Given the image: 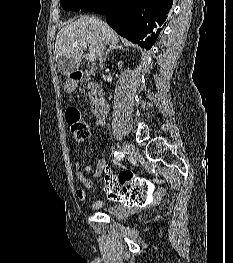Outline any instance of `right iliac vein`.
Wrapping results in <instances>:
<instances>
[{
  "label": "right iliac vein",
  "mask_w": 233,
  "mask_h": 263,
  "mask_svg": "<svg viewBox=\"0 0 233 263\" xmlns=\"http://www.w3.org/2000/svg\"><path fill=\"white\" fill-rule=\"evenodd\" d=\"M122 151L125 154H129V155H135L137 153L136 147L130 143H124L122 145Z\"/></svg>",
  "instance_id": "63e3f726"
}]
</instances>
